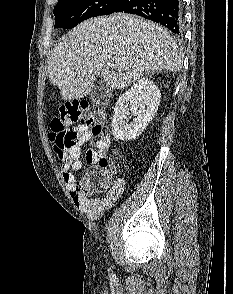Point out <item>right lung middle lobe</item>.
Instances as JSON below:
<instances>
[{
	"label": "right lung middle lobe",
	"instance_id": "dd1d6c3e",
	"mask_svg": "<svg viewBox=\"0 0 233 294\" xmlns=\"http://www.w3.org/2000/svg\"><path fill=\"white\" fill-rule=\"evenodd\" d=\"M123 0H58L54 28L71 29L95 16L113 13Z\"/></svg>",
	"mask_w": 233,
	"mask_h": 294
}]
</instances>
